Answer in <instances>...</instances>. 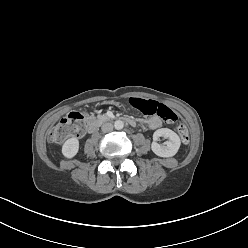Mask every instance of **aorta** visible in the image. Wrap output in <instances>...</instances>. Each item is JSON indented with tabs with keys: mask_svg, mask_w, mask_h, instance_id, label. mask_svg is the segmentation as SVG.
Listing matches in <instances>:
<instances>
[{
	"mask_svg": "<svg viewBox=\"0 0 248 248\" xmlns=\"http://www.w3.org/2000/svg\"><path fill=\"white\" fill-rule=\"evenodd\" d=\"M114 127H115V129H117V130H121V129H123V127H124V122L121 121V120H116V121L114 122Z\"/></svg>",
	"mask_w": 248,
	"mask_h": 248,
	"instance_id": "obj_1",
	"label": "aorta"
}]
</instances>
